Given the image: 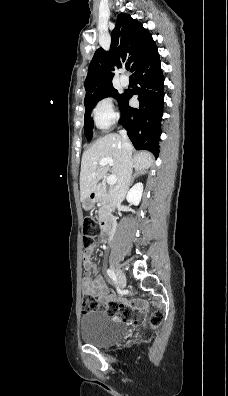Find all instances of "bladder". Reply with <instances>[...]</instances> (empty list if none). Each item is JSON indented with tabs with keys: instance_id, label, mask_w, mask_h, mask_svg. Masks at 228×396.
I'll use <instances>...</instances> for the list:
<instances>
[{
	"instance_id": "bladder-1",
	"label": "bladder",
	"mask_w": 228,
	"mask_h": 396,
	"mask_svg": "<svg viewBox=\"0 0 228 396\" xmlns=\"http://www.w3.org/2000/svg\"><path fill=\"white\" fill-rule=\"evenodd\" d=\"M80 333L84 342L107 347L125 339L129 329L121 321L112 319L105 311L96 310L82 316Z\"/></svg>"
}]
</instances>
